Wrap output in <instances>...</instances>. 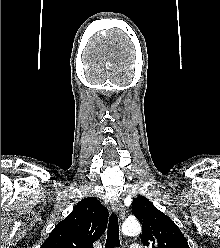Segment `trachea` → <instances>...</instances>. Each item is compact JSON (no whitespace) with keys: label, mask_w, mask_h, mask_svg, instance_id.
Listing matches in <instances>:
<instances>
[{"label":"trachea","mask_w":220,"mask_h":248,"mask_svg":"<svg viewBox=\"0 0 220 248\" xmlns=\"http://www.w3.org/2000/svg\"><path fill=\"white\" fill-rule=\"evenodd\" d=\"M119 246H120V240H119L118 217L115 214H111L109 218L105 248H114Z\"/></svg>","instance_id":"1"}]
</instances>
